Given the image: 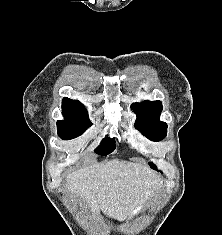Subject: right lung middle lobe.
Returning <instances> with one entry per match:
<instances>
[{"mask_svg":"<svg viewBox=\"0 0 222 235\" xmlns=\"http://www.w3.org/2000/svg\"><path fill=\"white\" fill-rule=\"evenodd\" d=\"M57 122L58 135L63 140H70L83 134L92 125L88 117H64ZM115 149L114 140L106 137L95 150L97 154L108 155Z\"/></svg>","mask_w":222,"mask_h":235,"instance_id":"1","label":"right lung middle lobe"}]
</instances>
